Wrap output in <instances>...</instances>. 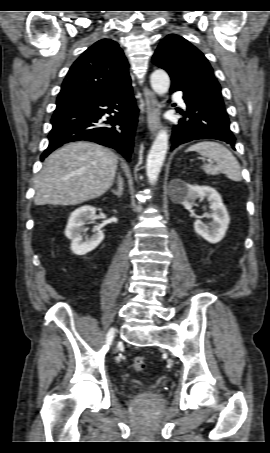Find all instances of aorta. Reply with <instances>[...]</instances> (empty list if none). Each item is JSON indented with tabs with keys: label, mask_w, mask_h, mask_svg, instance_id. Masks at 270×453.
I'll use <instances>...</instances> for the list:
<instances>
[{
	"label": "aorta",
	"mask_w": 270,
	"mask_h": 453,
	"mask_svg": "<svg viewBox=\"0 0 270 453\" xmlns=\"http://www.w3.org/2000/svg\"><path fill=\"white\" fill-rule=\"evenodd\" d=\"M150 83L155 93L164 95L169 90L170 78L164 70L157 69L151 74ZM167 150L168 133L165 129H162L157 134L151 146L146 163L147 177L152 185H154L158 179Z\"/></svg>",
	"instance_id": "1"
}]
</instances>
